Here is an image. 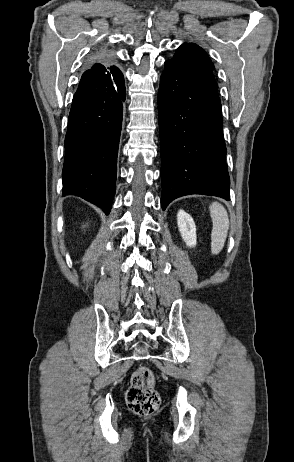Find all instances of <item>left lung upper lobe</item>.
Segmentation results:
<instances>
[{"instance_id": "1", "label": "left lung upper lobe", "mask_w": 294, "mask_h": 462, "mask_svg": "<svg viewBox=\"0 0 294 462\" xmlns=\"http://www.w3.org/2000/svg\"><path fill=\"white\" fill-rule=\"evenodd\" d=\"M173 59L185 62L187 64L199 67L201 69H205L208 71L214 70V65L209 59L206 52L199 47L198 45L191 43H184L181 45Z\"/></svg>"}]
</instances>
